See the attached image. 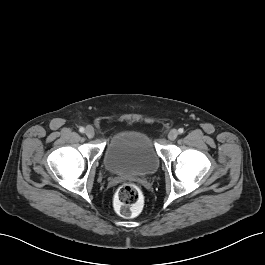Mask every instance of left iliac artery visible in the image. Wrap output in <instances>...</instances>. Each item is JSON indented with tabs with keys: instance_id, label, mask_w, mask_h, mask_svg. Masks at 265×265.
Listing matches in <instances>:
<instances>
[{
	"instance_id": "1",
	"label": "left iliac artery",
	"mask_w": 265,
	"mask_h": 265,
	"mask_svg": "<svg viewBox=\"0 0 265 265\" xmlns=\"http://www.w3.org/2000/svg\"><path fill=\"white\" fill-rule=\"evenodd\" d=\"M179 134H182L184 132L183 128L178 129Z\"/></svg>"
}]
</instances>
